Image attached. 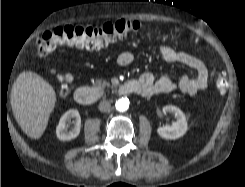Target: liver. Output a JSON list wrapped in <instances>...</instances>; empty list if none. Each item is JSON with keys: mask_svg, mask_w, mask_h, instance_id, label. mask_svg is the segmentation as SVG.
<instances>
[{"mask_svg": "<svg viewBox=\"0 0 245 187\" xmlns=\"http://www.w3.org/2000/svg\"><path fill=\"white\" fill-rule=\"evenodd\" d=\"M56 103L53 87L33 72H22L11 91L14 117L23 132L39 139L44 133Z\"/></svg>", "mask_w": 245, "mask_h": 187, "instance_id": "6515ba94", "label": "liver"}]
</instances>
